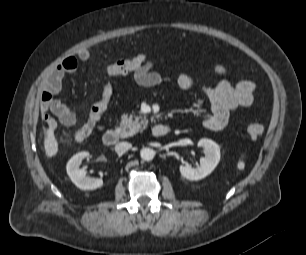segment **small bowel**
Segmentation results:
<instances>
[{
  "label": "small bowel",
  "mask_w": 306,
  "mask_h": 255,
  "mask_svg": "<svg viewBox=\"0 0 306 255\" xmlns=\"http://www.w3.org/2000/svg\"><path fill=\"white\" fill-rule=\"evenodd\" d=\"M90 56L89 50L81 49L76 56L63 59L45 78L41 93V118L50 128H55L57 125L51 114L56 116L59 122L65 126L75 124V113L64 103L54 99V95L60 91L63 78L76 71L78 61H87ZM154 66V61L148 59L145 65L132 72L137 85L154 87L169 79L155 71ZM213 70L218 75H228V70L223 65L216 64L213 66ZM176 83L181 90L188 91L193 88L194 79L188 73H180L176 78ZM255 89L256 85L253 81L241 80L236 85H232L226 78L213 85L202 86L201 91L211 104L210 114L204 118L203 126L212 131L224 129L232 113L239 108L252 105Z\"/></svg>",
  "instance_id": "small-bowel-1"
}]
</instances>
